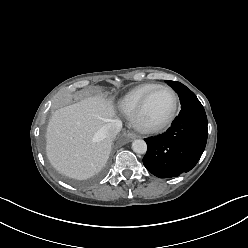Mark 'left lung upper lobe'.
Listing matches in <instances>:
<instances>
[{"label":"left lung upper lobe","instance_id":"5c2ea615","mask_svg":"<svg viewBox=\"0 0 248 248\" xmlns=\"http://www.w3.org/2000/svg\"><path fill=\"white\" fill-rule=\"evenodd\" d=\"M176 93L180 98L181 108L187 107L197 101V97L195 94L190 91L185 85L177 81H165Z\"/></svg>","mask_w":248,"mask_h":248}]
</instances>
